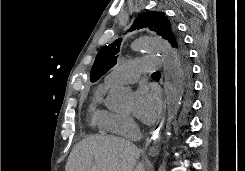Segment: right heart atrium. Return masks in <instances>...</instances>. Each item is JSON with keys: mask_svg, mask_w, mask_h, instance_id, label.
Here are the masks:
<instances>
[{"mask_svg": "<svg viewBox=\"0 0 245 171\" xmlns=\"http://www.w3.org/2000/svg\"><path fill=\"white\" fill-rule=\"evenodd\" d=\"M110 129L117 134L130 137L136 132L137 126L130 116L116 114L111 120Z\"/></svg>", "mask_w": 245, "mask_h": 171, "instance_id": "right-heart-atrium-1", "label": "right heart atrium"}]
</instances>
